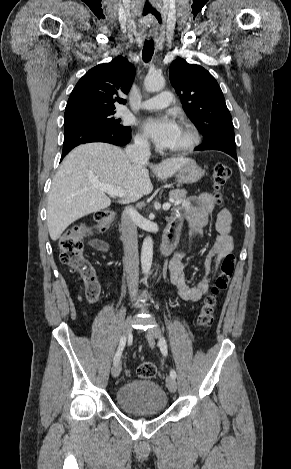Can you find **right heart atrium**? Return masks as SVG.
Listing matches in <instances>:
<instances>
[{"mask_svg":"<svg viewBox=\"0 0 291 469\" xmlns=\"http://www.w3.org/2000/svg\"><path fill=\"white\" fill-rule=\"evenodd\" d=\"M135 145L140 148V149H143V150H146L148 149L149 147V144H148V141L146 140V138L141 135V134H137L135 136Z\"/></svg>","mask_w":291,"mask_h":469,"instance_id":"d8ad5b80","label":"right heart atrium"}]
</instances>
